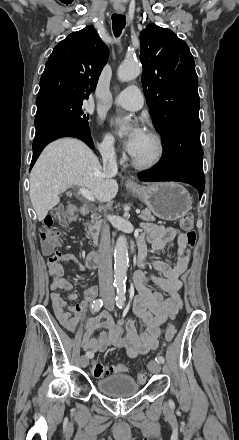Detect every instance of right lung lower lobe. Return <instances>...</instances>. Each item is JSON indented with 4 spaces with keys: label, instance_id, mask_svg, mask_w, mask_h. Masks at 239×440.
I'll use <instances>...</instances> for the list:
<instances>
[{
    "label": "right lung lower lobe",
    "instance_id": "1",
    "mask_svg": "<svg viewBox=\"0 0 239 440\" xmlns=\"http://www.w3.org/2000/svg\"><path fill=\"white\" fill-rule=\"evenodd\" d=\"M35 128L36 135L33 141V157L30 169L44 147L58 138L75 137L84 141L91 149H94L92 138H90L89 127L71 120L55 115H48L35 119Z\"/></svg>",
    "mask_w": 239,
    "mask_h": 440
}]
</instances>
